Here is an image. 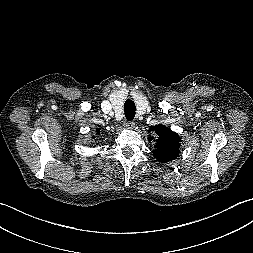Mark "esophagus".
Segmentation results:
<instances>
[{
	"label": "esophagus",
	"mask_w": 253,
	"mask_h": 253,
	"mask_svg": "<svg viewBox=\"0 0 253 253\" xmlns=\"http://www.w3.org/2000/svg\"><path fill=\"white\" fill-rule=\"evenodd\" d=\"M124 126L127 129H133L135 127V123L133 121H126V122H124Z\"/></svg>",
	"instance_id": "34e87169"
}]
</instances>
